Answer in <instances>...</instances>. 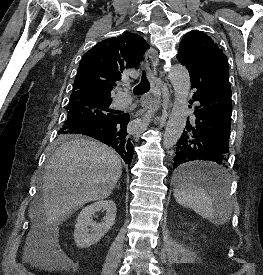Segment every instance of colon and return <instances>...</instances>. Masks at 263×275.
Returning <instances> with one entry per match:
<instances>
[{"label": "colon", "instance_id": "1", "mask_svg": "<svg viewBox=\"0 0 263 275\" xmlns=\"http://www.w3.org/2000/svg\"><path fill=\"white\" fill-rule=\"evenodd\" d=\"M53 253H54V254H58V250L54 249V250H53Z\"/></svg>", "mask_w": 263, "mask_h": 275}]
</instances>
